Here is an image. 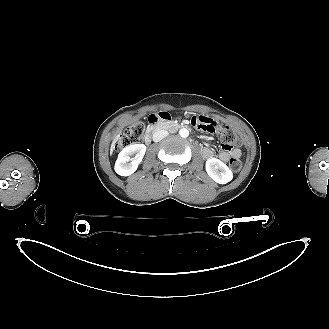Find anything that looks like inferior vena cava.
<instances>
[{
	"label": "inferior vena cava",
	"instance_id": "602c4592",
	"mask_svg": "<svg viewBox=\"0 0 329 329\" xmlns=\"http://www.w3.org/2000/svg\"><path fill=\"white\" fill-rule=\"evenodd\" d=\"M168 135H169V133L166 130H157L153 134V141L154 142H159L163 138L167 137Z\"/></svg>",
	"mask_w": 329,
	"mask_h": 329
}]
</instances>
